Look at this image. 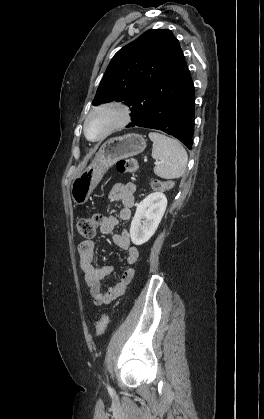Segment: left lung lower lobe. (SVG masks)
Segmentation results:
<instances>
[{"label":"left lung lower lobe","mask_w":264,"mask_h":419,"mask_svg":"<svg viewBox=\"0 0 264 419\" xmlns=\"http://www.w3.org/2000/svg\"><path fill=\"white\" fill-rule=\"evenodd\" d=\"M194 101L193 82L181 52L173 74L162 82L154 83L144 101L131 110L132 123L127 127L161 130L178 138L191 149Z\"/></svg>","instance_id":"1"}]
</instances>
